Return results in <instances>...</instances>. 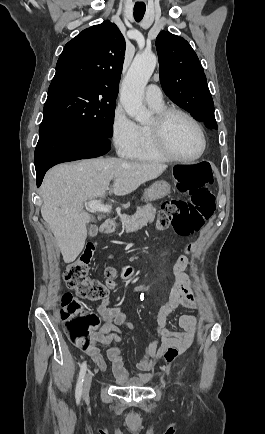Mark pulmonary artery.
Segmentation results:
<instances>
[{
    "mask_svg": "<svg viewBox=\"0 0 265 434\" xmlns=\"http://www.w3.org/2000/svg\"><path fill=\"white\" fill-rule=\"evenodd\" d=\"M164 92L160 91L159 87H154L150 84L145 92V100L149 105H156L164 99Z\"/></svg>",
    "mask_w": 265,
    "mask_h": 434,
    "instance_id": "1",
    "label": "pulmonary artery"
}]
</instances>
